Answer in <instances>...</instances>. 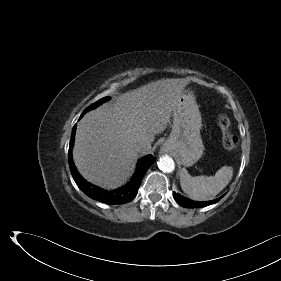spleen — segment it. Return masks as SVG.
Masks as SVG:
<instances>
[{
    "label": "spleen",
    "mask_w": 281,
    "mask_h": 281,
    "mask_svg": "<svg viewBox=\"0 0 281 281\" xmlns=\"http://www.w3.org/2000/svg\"><path fill=\"white\" fill-rule=\"evenodd\" d=\"M233 169L223 166L214 176L192 177L185 168L180 170L181 188L189 198L196 201H208L219 194L231 181Z\"/></svg>",
    "instance_id": "obj_1"
}]
</instances>
